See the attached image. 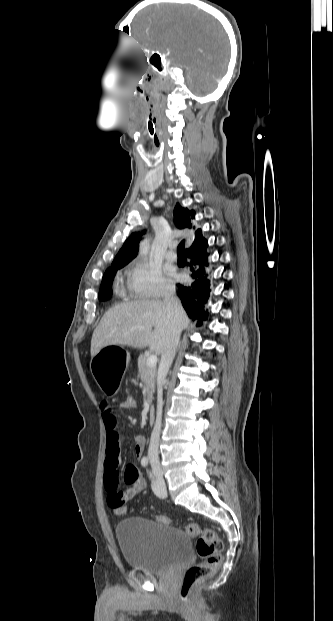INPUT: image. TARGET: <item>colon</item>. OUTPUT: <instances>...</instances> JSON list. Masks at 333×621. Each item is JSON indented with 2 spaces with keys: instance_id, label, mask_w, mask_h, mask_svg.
Returning <instances> with one entry per match:
<instances>
[{
  "instance_id": "1",
  "label": "colon",
  "mask_w": 333,
  "mask_h": 621,
  "mask_svg": "<svg viewBox=\"0 0 333 621\" xmlns=\"http://www.w3.org/2000/svg\"><path fill=\"white\" fill-rule=\"evenodd\" d=\"M120 405L123 409L132 411L138 407V399L134 393L128 392L123 395ZM113 510L116 514L123 515L126 511L125 504L117 505ZM156 520L165 524L170 523L166 516H157ZM184 531L188 536L196 538V551L203 559L202 562L191 566L184 575L179 597L185 603L189 600L192 586L197 581L207 578L219 570L222 562L223 542L215 531L201 527L196 523L186 524Z\"/></svg>"
}]
</instances>
